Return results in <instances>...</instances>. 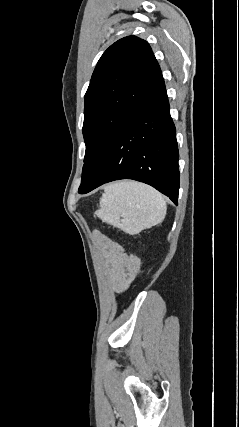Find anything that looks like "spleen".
<instances>
[{
    "label": "spleen",
    "mask_w": 239,
    "mask_h": 427,
    "mask_svg": "<svg viewBox=\"0 0 239 427\" xmlns=\"http://www.w3.org/2000/svg\"><path fill=\"white\" fill-rule=\"evenodd\" d=\"M164 197L154 188L135 181L107 185L96 215L128 234H137L161 223L166 215Z\"/></svg>",
    "instance_id": "obj_1"
}]
</instances>
